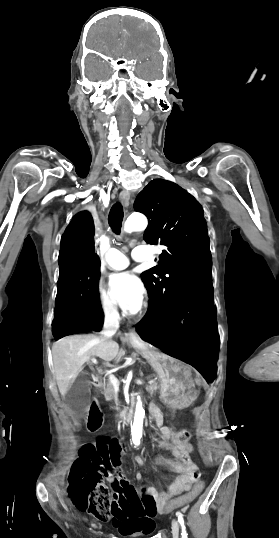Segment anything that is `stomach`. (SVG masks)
I'll return each mask as SVG.
<instances>
[{
	"label": "stomach",
	"mask_w": 279,
	"mask_h": 538,
	"mask_svg": "<svg viewBox=\"0 0 279 538\" xmlns=\"http://www.w3.org/2000/svg\"><path fill=\"white\" fill-rule=\"evenodd\" d=\"M148 362L159 374L158 382L163 384V407L172 404L176 409H187L197 401L198 390L192 386V369L187 363H181L180 358H171L170 353L159 352L149 353Z\"/></svg>",
	"instance_id": "obj_1"
}]
</instances>
